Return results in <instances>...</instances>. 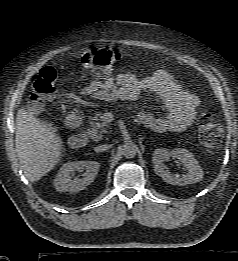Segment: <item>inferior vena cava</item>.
I'll use <instances>...</instances> for the list:
<instances>
[{
	"instance_id": "inferior-vena-cava-1",
	"label": "inferior vena cava",
	"mask_w": 238,
	"mask_h": 261,
	"mask_svg": "<svg viewBox=\"0 0 238 261\" xmlns=\"http://www.w3.org/2000/svg\"><path fill=\"white\" fill-rule=\"evenodd\" d=\"M110 148V145L107 144H103V145H98L97 147H95V151L96 152H103L106 151Z\"/></svg>"
}]
</instances>
